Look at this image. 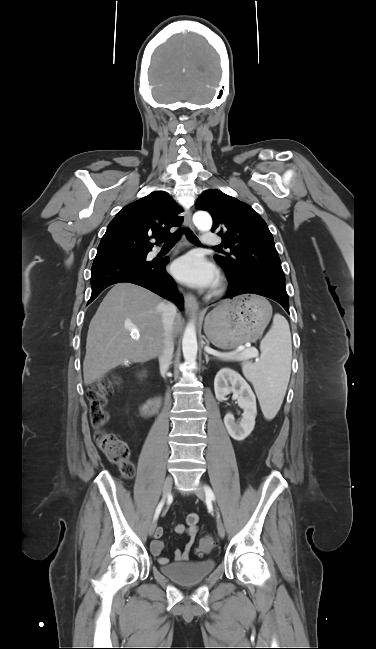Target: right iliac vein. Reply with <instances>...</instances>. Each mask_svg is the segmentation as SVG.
<instances>
[{
  "label": "right iliac vein",
  "instance_id": "obj_1",
  "mask_svg": "<svg viewBox=\"0 0 376 649\" xmlns=\"http://www.w3.org/2000/svg\"><path fill=\"white\" fill-rule=\"evenodd\" d=\"M172 485H173V479H172L171 476H168L165 479L164 485H163V496H164V498H166L169 495V493L171 491V488H172ZM156 526H157V523H156L155 520H153L151 522L150 526H149V529H148L149 536L153 535V533H154V531L156 529Z\"/></svg>",
  "mask_w": 376,
  "mask_h": 649
}]
</instances>
